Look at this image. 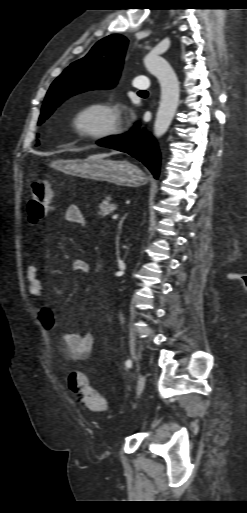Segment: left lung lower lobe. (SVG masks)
Segmentation results:
<instances>
[{
	"mask_svg": "<svg viewBox=\"0 0 247 513\" xmlns=\"http://www.w3.org/2000/svg\"><path fill=\"white\" fill-rule=\"evenodd\" d=\"M99 146L126 152L141 161L158 178L160 167V153L157 143L148 133L140 132L139 125L127 134L101 139Z\"/></svg>",
	"mask_w": 247,
	"mask_h": 513,
	"instance_id": "left-lung-lower-lobe-1",
	"label": "left lung lower lobe"
}]
</instances>
